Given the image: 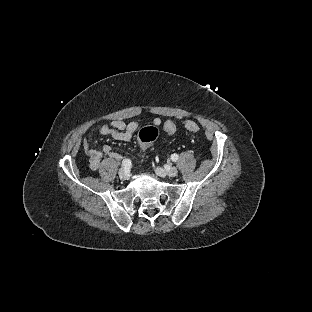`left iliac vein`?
Here are the masks:
<instances>
[{"label":"left iliac vein","instance_id":"1","mask_svg":"<svg viewBox=\"0 0 312 312\" xmlns=\"http://www.w3.org/2000/svg\"><path fill=\"white\" fill-rule=\"evenodd\" d=\"M156 173L160 176L166 174L169 177H174L178 173V169L176 167H169V168H157Z\"/></svg>","mask_w":312,"mask_h":312}]
</instances>
